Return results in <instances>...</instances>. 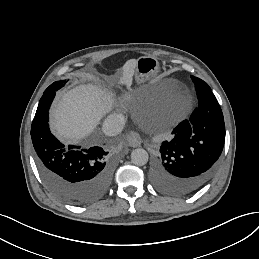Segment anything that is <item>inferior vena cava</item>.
Instances as JSON below:
<instances>
[{
  "label": "inferior vena cava",
  "instance_id": "602c4592",
  "mask_svg": "<svg viewBox=\"0 0 259 259\" xmlns=\"http://www.w3.org/2000/svg\"><path fill=\"white\" fill-rule=\"evenodd\" d=\"M125 117L122 114H110L103 122V132L107 136H116L123 130Z\"/></svg>",
  "mask_w": 259,
  "mask_h": 259
}]
</instances>
